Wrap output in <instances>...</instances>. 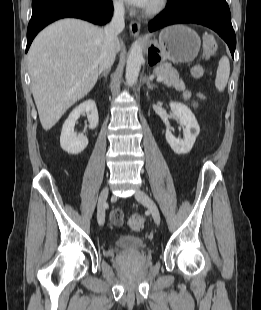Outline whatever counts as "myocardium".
I'll return each mask as SVG.
<instances>
[{
    "instance_id": "myocardium-1",
    "label": "myocardium",
    "mask_w": 261,
    "mask_h": 310,
    "mask_svg": "<svg viewBox=\"0 0 261 310\" xmlns=\"http://www.w3.org/2000/svg\"><path fill=\"white\" fill-rule=\"evenodd\" d=\"M168 5V0H153L152 3L145 9L146 16H155L161 13Z\"/></svg>"
}]
</instances>
